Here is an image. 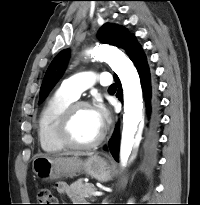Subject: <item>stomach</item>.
<instances>
[{
	"mask_svg": "<svg viewBox=\"0 0 200 205\" xmlns=\"http://www.w3.org/2000/svg\"><path fill=\"white\" fill-rule=\"evenodd\" d=\"M33 171L43 181H51L61 176H73L85 171L91 177L105 182L114 174V166L99 155H92L85 160L78 157L38 156L32 163Z\"/></svg>",
	"mask_w": 200,
	"mask_h": 205,
	"instance_id": "stomach-1",
	"label": "stomach"
}]
</instances>
